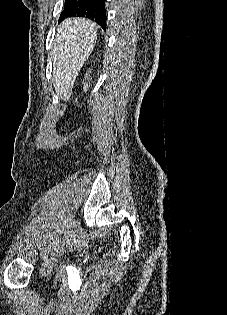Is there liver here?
Instances as JSON below:
<instances>
[{"mask_svg": "<svg viewBox=\"0 0 227 315\" xmlns=\"http://www.w3.org/2000/svg\"><path fill=\"white\" fill-rule=\"evenodd\" d=\"M97 40L96 23L84 18H68L61 23L53 43L52 67L56 94L68 101L76 77Z\"/></svg>", "mask_w": 227, "mask_h": 315, "instance_id": "1", "label": "liver"}]
</instances>
